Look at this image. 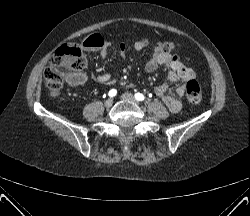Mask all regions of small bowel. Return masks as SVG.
<instances>
[{"label": "small bowel", "instance_id": "1", "mask_svg": "<svg viewBox=\"0 0 250 216\" xmlns=\"http://www.w3.org/2000/svg\"><path fill=\"white\" fill-rule=\"evenodd\" d=\"M82 46L89 51L99 50L102 57H106L108 54L109 45L99 34H92L85 38ZM134 48L135 50H141L143 44L136 42ZM118 49L120 55L124 56L126 53L125 45L120 44ZM160 66H166L169 69V75L164 83L155 88V93L172 113H177L181 109V102L177 98L170 96L168 89L177 81H182V84L177 86L176 93L178 96H183L186 92V83L194 79L195 74L192 69L184 65L178 55L155 47L153 57L146 63L145 69L147 72H153ZM86 79V75L79 72L71 76L68 82L72 86H81L86 82ZM94 79L101 84H113L116 82V79L107 74L95 75Z\"/></svg>", "mask_w": 250, "mask_h": 216}]
</instances>
